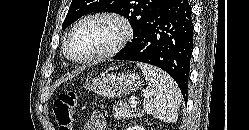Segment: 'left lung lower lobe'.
<instances>
[{
    "mask_svg": "<svg viewBox=\"0 0 249 130\" xmlns=\"http://www.w3.org/2000/svg\"><path fill=\"white\" fill-rule=\"evenodd\" d=\"M188 0H165L144 22L132 43L113 58L139 61L166 71L177 82L185 102L193 49V23Z\"/></svg>",
    "mask_w": 249,
    "mask_h": 130,
    "instance_id": "1",
    "label": "left lung lower lobe"
}]
</instances>
